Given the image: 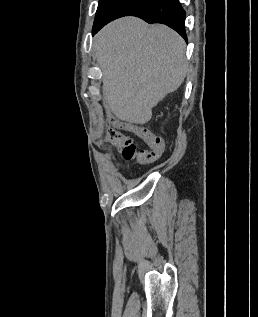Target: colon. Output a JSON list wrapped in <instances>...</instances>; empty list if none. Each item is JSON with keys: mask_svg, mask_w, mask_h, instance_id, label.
Wrapping results in <instances>:
<instances>
[{"mask_svg": "<svg viewBox=\"0 0 258 317\" xmlns=\"http://www.w3.org/2000/svg\"><path fill=\"white\" fill-rule=\"evenodd\" d=\"M114 123L117 119L111 118ZM107 142L116 147L125 159H136L141 163H153L160 157L158 151L139 149L132 138L123 134L120 130L112 128L108 130Z\"/></svg>", "mask_w": 258, "mask_h": 317, "instance_id": "colon-1", "label": "colon"}]
</instances>
